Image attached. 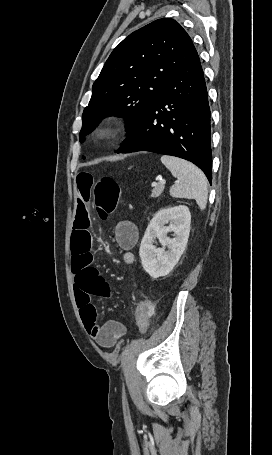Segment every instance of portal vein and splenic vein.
Instances as JSON below:
<instances>
[{"mask_svg": "<svg viewBox=\"0 0 272 455\" xmlns=\"http://www.w3.org/2000/svg\"><path fill=\"white\" fill-rule=\"evenodd\" d=\"M165 183H166V181H165L164 179H162V180L160 181V184H161L162 186H164Z\"/></svg>", "mask_w": 272, "mask_h": 455, "instance_id": "portal-vein-and-splenic-vein-1", "label": "portal vein and splenic vein"}]
</instances>
